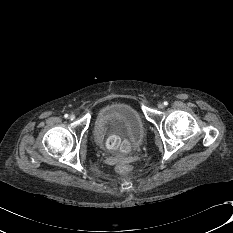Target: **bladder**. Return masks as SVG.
<instances>
[{
  "instance_id": "31cf9c89",
  "label": "bladder",
  "mask_w": 233,
  "mask_h": 233,
  "mask_svg": "<svg viewBox=\"0 0 233 233\" xmlns=\"http://www.w3.org/2000/svg\"><path fill=\"white\" fill-rule=\"evenodd\" d=\"M93 135L99 143L116 135L138 147L145 139L146 124L139 111L132 105L112 103L103 107L93 123Z\"/></svg>"
}]
</instances>
